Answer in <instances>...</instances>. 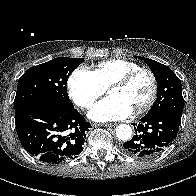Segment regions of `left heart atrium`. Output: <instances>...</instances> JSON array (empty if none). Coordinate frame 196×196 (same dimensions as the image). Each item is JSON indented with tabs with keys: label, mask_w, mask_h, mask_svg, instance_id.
Here are the masks:
<instances>
[{
	"label": "left heart atrium",
	"mask_w": 196,
	"mask_h": 196,
	"mask_svg": "<svg viewBox=\"0 0 196 196\" xmlns=\"http://www.w3.org/2000/svg\"><path fill=\"white\" fill-rule=\"evenodd\" d=\"M133 107L121 97L109 95L95 104L89 111V117L97 122L121 120L133 113Z\"/></svg>",
	"instance_id": "obj_1"
}]
</instances>
